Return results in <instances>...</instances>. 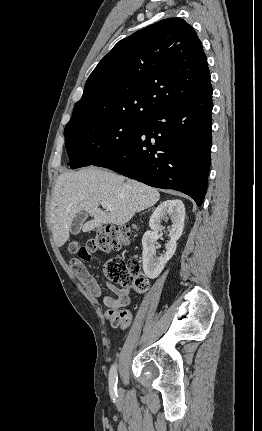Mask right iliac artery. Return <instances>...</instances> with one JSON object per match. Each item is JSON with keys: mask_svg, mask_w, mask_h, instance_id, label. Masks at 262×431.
Instances as JSON below:
<instances>
[{"mask_svg": "<svg viewBox=\"0 0 262 431\" xmlns=\"http://www.w3.org/2000/svg\"><path fill=\"white\" fill-rule=\"evenodd\" d=\"M117 383H118V376H117V368L116 364H114L109 373V390L110 395L113 400L117 397Z\"/></svg>", "mask_w": 262, "mask_h": 431, "instance_id": "obj_1", "label": "right iliac artery"}]
</instances>
